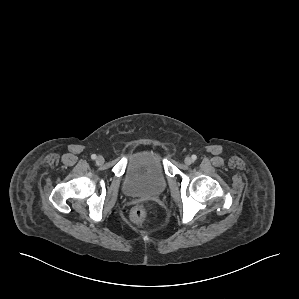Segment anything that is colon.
<instances>
[{
    "instance_id": "5ec220e1",
    "label": "colon",
    "mask_w": 299,
    "mask_h": 299,
    "mask_svg": "<svg viewBox=\"0 0 299 299\" xmlns=\"http://www.w3.org/2000/svg\"><path fill=\"white\" fill-rule=\"evenodd\" d=\"M130 219L133 223H144L148 219V211L144 206H136L130 212Z\"/></svg>"
}]
</instances>
